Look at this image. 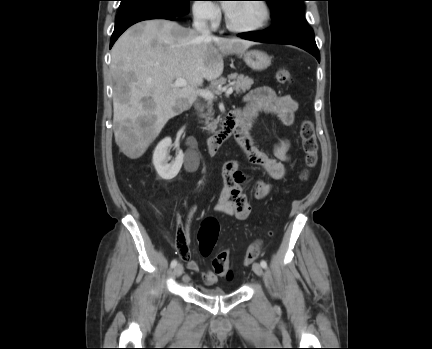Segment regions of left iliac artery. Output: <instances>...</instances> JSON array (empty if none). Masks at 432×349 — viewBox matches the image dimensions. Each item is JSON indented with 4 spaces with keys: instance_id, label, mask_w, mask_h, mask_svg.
<instances>
[{
    "instance_id": "44dca946",
    "label": "left iliac artery",
    "mask_w": 432,
    "mask_h": 349,
    "mask_svg": "<svg viewBox=\"0 0 432 349\" xmlns=\"http://www.w3.org/2000/svg\"><path fill=\"white\" fill-rule=\"evenodd\" d=\"M260 264H261V266H262L263 268H267V262H266L265 260H262V261L260 262Z\"/></svg>"
}]
</instances>
